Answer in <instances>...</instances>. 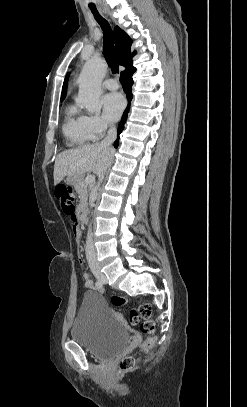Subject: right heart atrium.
<instances>
[{
    "label": "right heart atrium",
    "instance_id": "right-heart-atrium-1",
    "mask_svg": "<svg viewBox=\"0 0 247 407\" xmlns=\"http://www.w3.org/2000/svg\"><path fill=\"white\" fill-rule=\"evenodd\" d=\"M86 120L93 140L99 139L110 126L108 121L98 115L86 116Z\"/></svg>",
    "mask_w": 247,
    "mask_h": 407
}]
</instances>
